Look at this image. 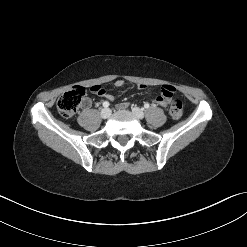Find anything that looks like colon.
<instances>
[{
  "label": "colon",
  "mask_w": 247,
  "mask_h": 247,
  "mask_svg": "<svg viewBox=\"0 0 247 247\" xmlns=\"http://www.w3.org/2000/svg\"><path fill=\"white\" fill-rule=\"evenodd\" d=\"M101 86L98 85L96 88H100ZM92 90V88H91ZM173 89L170 86H157L153 90V95L157 98V102L164 103V98L166 96L173 95ZM86 90L83 87L77 86L71 88L69 91L64 93L57 101V109L61 116L64 118H71L73 117L81 104L85 100ZM140 97L144 96L143 92L139 93ZM170 116L174 120H178L182 117L183 114V103L180 99L174 98L170 103L169 108Z\"/></svg>",
  "instance_id": "1"
}]
</instances>
